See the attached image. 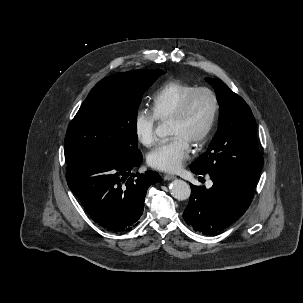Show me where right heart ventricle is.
<instances>
[{
  "label": "right heart ventricle",
  "mask_w": 303,
  "mask_h": 303,
  "mask_svg": "<svg viewBox=\"0 0 303 303\" xmlns=\"http://www.w3.org/2000/svg\"><path fill=\"white\" fill-rule=\"evenodd\" d=\"M196 88V86L173 80L163 84L153 95L151 111L156 120L165 122L170 120L183 99Z\"/></svg>",
  "instance_id": "obj_1"
}]
</instances>
